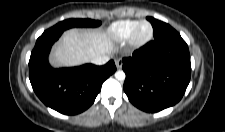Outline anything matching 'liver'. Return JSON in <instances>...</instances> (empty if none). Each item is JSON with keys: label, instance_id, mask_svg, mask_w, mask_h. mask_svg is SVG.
Returning a JSON list of instances; mask_svg holds the SVG:
<instances>
[{"label": "liver", "instance_id": "6515ba94", "mask_svg": "<svg viewBox=\"0 0 225 132\" xmlns=\"http://www.w3.org/2000/svg\"><path fill=\"white\" fill-rule=\"evenodd\" d=\"M112 52L110 33L74 28L64 32L62 38L53 46L50 63L53 67L78 66Z\"/></svg>", "mask_w": 225, "mask_h": 132}]
</instances>
